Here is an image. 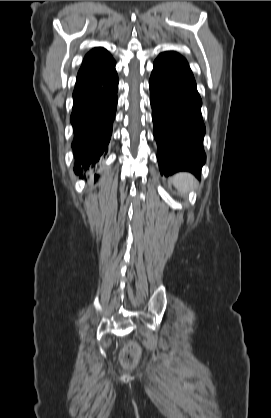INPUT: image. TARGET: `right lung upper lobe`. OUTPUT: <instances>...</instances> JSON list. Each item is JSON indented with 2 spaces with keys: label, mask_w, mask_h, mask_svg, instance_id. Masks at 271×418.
<instances>
[{
  "label": "right lung upper lobe",
  "mask_w": 271,
  "mask_h": 418,
  "mask_svg": "<svg viewBox=\"0 0 271 418\" xmlns=\"http://www.w3.org/2000/svg\"><path fill=\"white\" fill-rule=\"evenodd\" d=\"M112 56L104 48H93L84 57L82 66L78 72L77 79L89 74L96 68L112 60Z\"/></svg>",
  "instance_id": "1"
}]
</instances>
